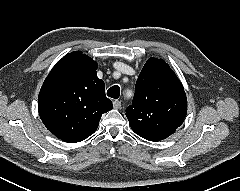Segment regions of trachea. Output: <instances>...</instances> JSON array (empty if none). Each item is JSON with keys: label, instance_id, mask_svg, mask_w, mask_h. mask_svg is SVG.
<instances>
[{"label": "trachea", "instance_id": "3493384b", "mask_svg": "<svg viewBox=\"0 0 240 191\" xmlns=\"http://www.w3.org/2000/svg\"><path fill=\"white\" fill-rule=\"evenodd\" d=\"M107 96L117 99L120 96V88L119 86L115 85L108 89Z\"/></svg>", "mask_w": 240, "mask_h": 191}]
</instances>
